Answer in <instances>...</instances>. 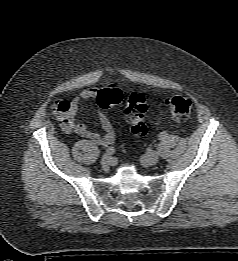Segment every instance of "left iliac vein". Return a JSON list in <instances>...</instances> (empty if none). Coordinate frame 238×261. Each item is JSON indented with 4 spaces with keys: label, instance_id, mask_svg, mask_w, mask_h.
Returning <instances> with one entry per match:
<instances>
[{
    "label": "left iliac vein",
    "instance_id": "4c4485c4",
    "mask_svg": "<svg viewBox=\"0 0 238 261\" xmlns=\"http://www.w3.org/2000/svg\"><path fill=\"white\" fill-rule=\"evenodd\" d=\"M159 161V154L158 152H149L142 156L141 162L145 166H152L155 165Z\"/></svg>",
    "mask_w": 238,
    "mask_h": 261
}]
</instances>
